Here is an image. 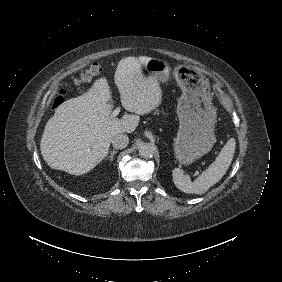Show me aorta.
<instances>
[{
	"label": "aorta",
	"mask_w": 282,
	"mask_h": 282,
	"mask_svg": "<svg viewBox=\"0 0 282 282\" xmlns=\"http://www.w3.org/2000/svg\"><path fill=\"white\" fill-rule=\"evenodd\" d=\"M155 153L154 147L149 143H144L139 147V155L143 158H151Z\"/></svg>",
	"instance_id": "obj_1"
}]
</instances>
